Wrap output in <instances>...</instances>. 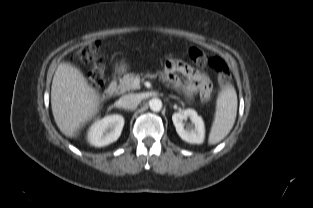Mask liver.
<instances>
[{"label":"liver","mask_w":313,"mask_h":208,"mask_svg":"<svg viewBox=\"0 0 313 208\" xmlns=\"http://www.w3.org/2000/svg\"><path fill=\"white\" fill-rule=\"evenodd\" d=\"M51 106L60 131L73 137L98 110L97 96L82 73L69 63L58 65L51 87Z\"/></svg>","instance_id":"6515ba94"}]
</instances>
